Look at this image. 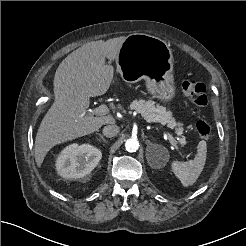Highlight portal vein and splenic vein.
I'll return each mask as SVG.
<instances>
[{
    "mask_svg": "<svg viewBox=\"0 0 246 246\" xmlns=\"http://www.w3.org/2000/svg\"><path fill=\"white\" fill-rule=\"evenodd\" d=\"M93 112L96 114V115H107L110 113V109L108 108L107 105L105 104H101L99 107L95 108L93 110ZM177 133L178 134H182V129H177ZM169 141L170 143L175 147V149L177 151H180L179 150V147L177 145V141L174 139V137H172L171 135H169Z\"/></svg>",
    "mask_w": 246,
    "mask_h": 246,
    "instance_id": "obj_1",
    "label": "portal vein and splenic vein"
}]
</instances>
